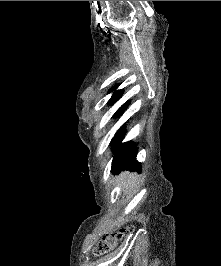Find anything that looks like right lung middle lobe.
I'll return each mask as SVG.
<instances>
[{
	"label": "right lung middle lobe",
	"mask_w": 221,
	"mask_h": 266,
	"mask_svg": "<svg viewBox=\"0 0 221 266\" xmlns=\"http://www.w3.org/2000/svg\"><path fill=\"white\" fill-rule=\"evenodd\" d=\"M115 89H111L110 91H114ZM123 94V90H118L116 91L113 96L111 97V99L109 100V104H113L114 102H116L121 95ZM129 101H127L126 103H124L118 110L117 112L114 114V116H117L118 114H121L128 106Z\"/></svg>",
	"instance_id": "dd1d6c3e"
}]
</instances>
